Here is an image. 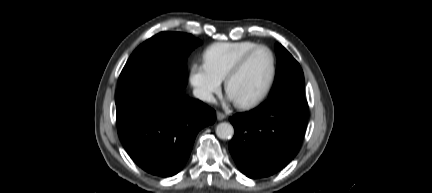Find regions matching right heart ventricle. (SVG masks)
I'll return each mask as SVG.
<instances>
[{"label":"right heart ventricle","mask_w":432,"mask_h":193,"mask_svg":"<svg viewBox=\"0 0 432 193\" xmlns=\"http://www.w3.org/2000/svg\"><path fill=\"white\" fill-rule=\"evenodd\" d=\"M257 45V42L249 40L215 43L206 49L204 61L208 69L223 81L231 67Z\"/></svg>","instance_id":"e07e8e85"}]
</instances>
